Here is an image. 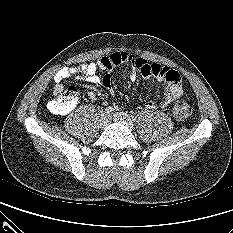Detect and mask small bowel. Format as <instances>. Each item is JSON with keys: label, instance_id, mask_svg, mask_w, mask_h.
Masks as SVG:
<instances>
[{"label": "small bowel", "instance_id": "1", "mask_svg": "<svg viewBox=\"0 0 233 233\" xmlns=\"http://www.w3.org/2000/svg\"><path fill=\"white\" fill-rule=\"evenodd\" d=\"M130 64L133 68L131 80L134 81L138 74L143 77L155 78L165 83L166 90L161 101H148L145 104L147 109H159L169 106L172 102L182 95V86L180 75L176 70L153 63L150 64L144 59L135 57L128 52H114L99 58L97 61L82 64L78 67H62L54 75V91L62 88L61 83L65 79L75 75L78 80L88 82L94 85H104L110 87L111 78L109 75L99 76V71H110L111 69L121 65ZM88 98L95 99L92 92H88Z\"/></svg>", "mask_w": 233, "mask_h": 233}]
</instances>
